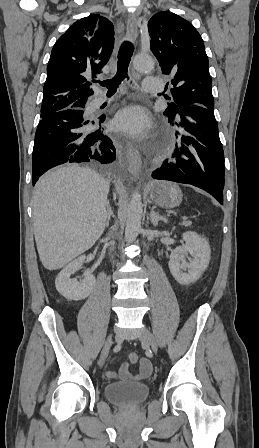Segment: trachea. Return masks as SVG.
<instances>
[{"mask_svg": "<svg viewBox=\"0 0 259 448\" xmlns=\"http://www.w3.org/2000/svg\"><path fill=\"white\" fill-rule=\"evenodd\" d=\"M134 52V46L132 42L124 41L121 44L120 50L118 52V62H117V73L116 75L109 79L104 80L103 82L99 81L102 87L107 88V95L114 94L117 91L120 83L128 78V67L131 60V57Z\"/></svg>", "mask_w": 259, "mask_h": 448, "instance_id": "trachea-1", "label": "trachea"}]
</instances>
